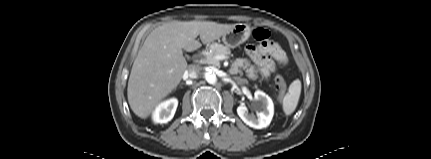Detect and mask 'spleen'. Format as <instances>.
Returning a JSON list of instances; mask_svg holds the SVG:
<instances>
[{
	"label": "spleen",
	"mask_w": 431,
	"mask_h": 159,
	"mask_svg": "<svg viewBox=\"0 0 431 159\" xmlns=\"http://www.w3.org/2000/svg\"><path fill=\"white\" fill-rule=\"evenodd\" d=\"M300 93L301 82L297 79L291 83L288 93L283 98V111L286 115H291L295 111L298 105Z\"/></svg>",
	"instance_id": "obj_1"
}]
</instances>
